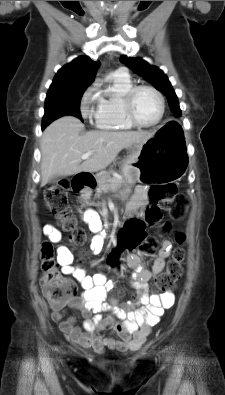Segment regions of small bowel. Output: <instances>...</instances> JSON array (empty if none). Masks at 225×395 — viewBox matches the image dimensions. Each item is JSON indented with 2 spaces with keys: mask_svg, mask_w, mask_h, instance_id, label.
<instances>
[{
  "mask_svg": "<svg viewBox=\"0 0 225 395\" xmlns=\"http://www.w3.org/2000/svg\"><path fill=\"white\" fill-rule=\"evenodd\" d=\"M147 204V187L140 185L127 205V213L132 216ZM82 220L95 233L91 240L90 250L93 254H99L104 246L102 222L99 215L93 210H86L82 214ZM43 233L50 241L59 244L57 258L61 271L70 275L79 283L83 292L80 296L70 301L72 308L81 311L85 318L83 329L74 325L72 318L63 319L62 310L53 308L51 314L55 322L60 323V329L67 334L71 341L102 352L105 348L137 350L145 342L150 333V328L156 325L166 309L173 306L175 296L172 292L149 294L148 283L155 279L165 267L166 259L172 249V243L164 239L160 249L154 258L150 268H146L141 258L135 254L126 257L127 265L131 268V284L138 290L141 307L121 305L114 298H108V293L114 288L115 281L108 279L105 274L96 273L87 275L85 271L73 265V256L70 250L63 245L64 238L60 230L53 224H46ZM111 310L119 319L114 320L111 316L104 317L103 310ZM111 331L118 338L105 337V331Z\"/></svg>",
  "mask_w": 225,
  "mask_h": 395,
  "instance_id": "1",
  "label": "small bowel"
}]
</instances>
